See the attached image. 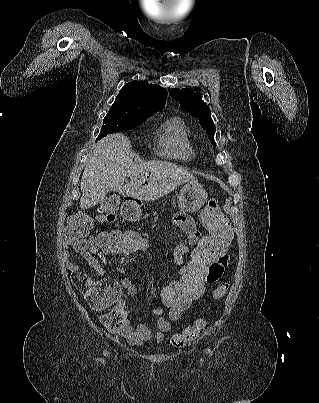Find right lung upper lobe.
<instances>
[{"label": "right lung upper lobe", "instance_id": "cb5924a9", "mask_svg": "<svg viewBox=\"0 0 319 403\" xmlns=\"http://www.w3.org/2000/svg\"><path fill=\"white\" fill-rule=\"evenodd\" d=\"M167 91L145 81H132L123 86L111 109L137 117H149L164 108Z\"/></svg>", "mask_w": 319, "mask_h": 403}]
</instances>
